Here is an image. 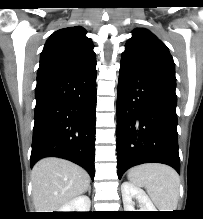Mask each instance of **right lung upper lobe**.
<instances>
[{"label": "right lung upper lobe", "instance_id": "right-lung-upper-lobe-1", "mask_svg": "<svg viewBox=\"0 0 203 219\" xmlns=\"http://www.w3.org/2000/svg\"><path fill=\"white\" fill-rule=\"evenodd\" d=\"M81 26L54 32L41 53L38 73L60 68L89 66L96 62L92 41Z\"/></svg>", "mask_w": 203, "mask_h": 219}]
</instances>
